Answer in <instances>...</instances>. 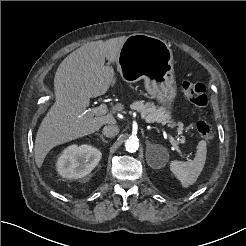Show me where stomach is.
I'll return each instance as SVG.
<instances>
[{
	"instance_id": "obj_1",
	"label": "stomach",
	"mask_w": 246,
	"mask_h": 246,
	"mask_svg": "<svg viewBox=\"0 0 246 246\" xmlns=\"http://www.w3.org/2000/svg\"><path fill=\"white\" fill-rule=\"evenodd\" d=\"M173 54L162 39L147 34H132L123 43L117 69L128 83L144 80L148 95L169 108L176 98Z\"/></svg>"
}]
</instances>
